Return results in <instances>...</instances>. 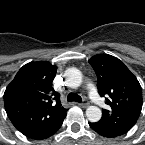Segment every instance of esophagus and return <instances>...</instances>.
Segmentation results:
<instances>
[{
    "mask_svg": "<svg viewBox=\"0 0 145 145\" xmlns=\"http://www.w3.org/2000/svg\"><path fill=\"white\" fill-rule=\"evenodd\" d=\"M78 105L83 107V108H86V107H88L89 103L87 101H84L82 103H79Z\"/></svg>",
    "mask_w": 145,
    "mask_h": 145,
    "instance_id": "1",
    "label": "esophagus"
}]
</instances>
